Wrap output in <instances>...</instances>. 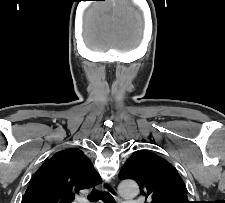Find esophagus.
<instances>
[{
  "label": "esophagus",
  "mask_w": 225,
  "mask_h": 203,
  "mask_svg": "<svg viewBox=\"0 0 225 203\" xmlns=\"http://www.w3.org/2000/svg\"><path fill=\"white\" fill-rule=\"evenodd\" d=\"M106 190L109 191V192H111L114 195V197L116 199H118L117 191H116V187H115V182L114 181H111V182L108 183V185L106 186Z\"/></svg>",
  "instance_id": "obj_1"
}]
</instances>
